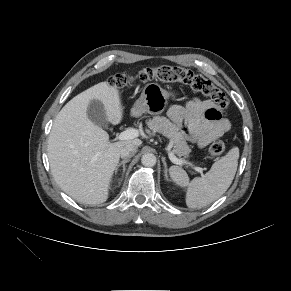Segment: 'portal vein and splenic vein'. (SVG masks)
<instances>
[{
  "instance_id": "obj_1",
  "label": "portal vein and splenic vein",
  "mask_w": 291,
  "mask_h": 291,
  "mask_svg": "<svg viewBox=\"0 0 291 291\" xmlns=\"http://www.w3.org/2000/svg\"><path fill=\"white\" fill-rule=\"evenodd\" d=\"M138 135H139V131L137 129L129 128L121 132L117 138L118 140H129V139H134L138 137ZM168 157L171 160V162H173L174 164L183 165L186 163L183 159L177 158L172 152L168 153Z\"/></svg>"
}]
</instances>
